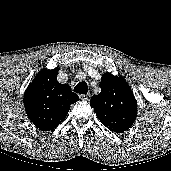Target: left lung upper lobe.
Returning <instances> with one entry per match:
<instances>
[{"label": "left lung upper lobe", "mask_w": 171, "mask_h": 171, "mask_svg": "<svg viewBox=\"0 0 171 171\" xmlns=\"http://www.w3.org/2000/svg\"><path fill=\"white\" fill-rule=\"evenodd\" d=\"M101 92L92 96L90 106L109 130L123 133L134 123L137 102L131 88L121 76L106 72L101 78Z\"/></svg>", "instance_id": "5c2ea615"}]
</instances>
